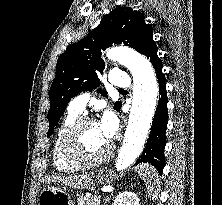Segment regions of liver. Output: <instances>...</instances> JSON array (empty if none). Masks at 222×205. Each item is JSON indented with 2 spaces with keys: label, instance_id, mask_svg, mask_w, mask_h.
I'll list each match as a JSON object with an SVG mask.
<instances>
[{
  "label": "liver",
  "instance_id": "1",
  "mask_svg": "<svg viewBox=\"0 0 222 205\" xmlns=\"http://www.w3.org/2000/svg\"><path fill=\"white\" fill-rule=\"evenodd\" d=\"M92 173L81 175H69V176H56L52 179L53 182H58L76 189H84L92 181Z\"/></svg>",
  "mask_w": 222,
  "mask_h": 205
}]
</instances>
